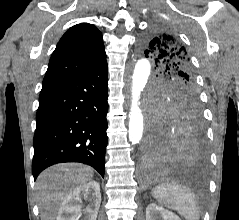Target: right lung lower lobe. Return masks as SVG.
Instances as JSON below:
<instances>
[{
    "instance_id": "obj_1",
    "label": "right lung lower lobe",
    "mask_w": 239,
    "mask_h": 220,
    "mask_svg": "<svg viewBox=\"0 0 239 220\" xmlns=\"http://www.w3.org/2000/svg\"><path fill=\"white\" fill-rule=\"evenodd\" d=\"M107 99V62L72 80L42 87L33 140L34 179L64 162L88 164L104 177Z\"/></svg>"
}]
</instances>
